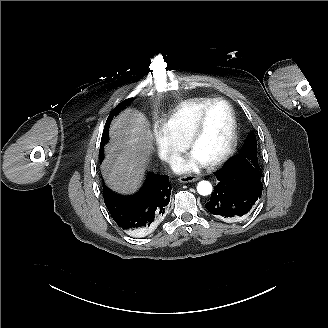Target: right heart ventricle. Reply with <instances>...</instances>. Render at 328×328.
<instances>
[{
  "mask_svg": "<svg viewBox=\"0 0 328 328\" xmlns=\"http://www.w3.org/2000/svg\"><path fill=\"white\" fill-rule=\"evenodd\" d=\"M213 98L196 97L185 100L174 108L155 117L167 134L176 142L184 144L189 130L201 110Z\"/></svg>",
  "mask_w": 328,
  "mask_h": 328,
  "instance_id": "obj_1",
  "label": "right heart ventricle"
}]
</instances>
